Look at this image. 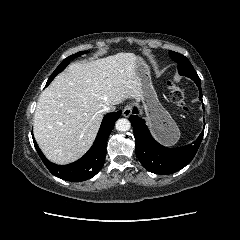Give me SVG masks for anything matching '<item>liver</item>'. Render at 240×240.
<instances>
[{
    "instance_id": "6515ba94",
    "label": "liver",
    "mask_w": 240,
    "mask_h": 240,
    "mask_svg": "<svg viewBox=\"0 0 240 240\" xmlns=\"http://www.w3.org/2000/svg\"><path fill=\"white\" fill-rule=\"evenodd\" d=\"M137 57L117 53L88 63H73L40 95L34 137L45 156L68 164L91 147L108 105L143 100L136 76Z\"/></svg>"
}]
</instances>
